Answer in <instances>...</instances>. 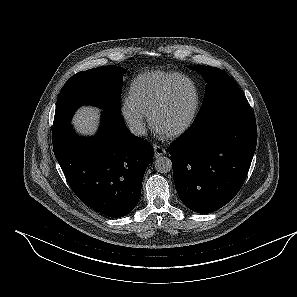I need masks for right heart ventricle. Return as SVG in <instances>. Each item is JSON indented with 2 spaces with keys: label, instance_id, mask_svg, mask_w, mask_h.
<instances>
[{
  "label": "right heart ventricle",
  "instance_id": "right-heart-ventricle-1",
  "mask_svg": "<svg viewBox=\"0 0 297 297\" xmlns=\"http://www.w3.org/2000/svg\"><path fill=\"white\" fill-rule=\"evenodd\" d=\"M178 75L175 72L163 71H149L140 74L132 81L128 98L141 111L148 114L168 84Z\"/></svg>",
  "mask_w": 297,
  "mask_h": 297
}]
</instances>
